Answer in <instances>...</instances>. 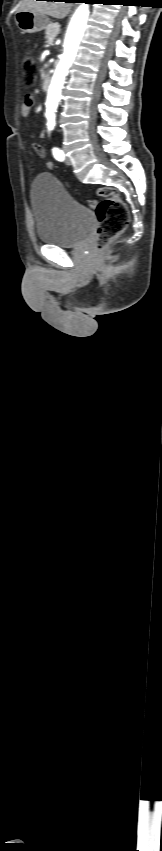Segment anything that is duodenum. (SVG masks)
Returning a JSON list of instances; mask_svg holds the SVG:
<instances>
[{
  "label": "duodenum",
  "instance_id": "410a0bca",
  "mask_svg": "<svg viewBox=\"0 0 162 851\" xmlns=\"http://www.w3.org/2000/svg\"><path fill=\"white\" fill-rule=\"evenodd\" d=\"M49 86H50V76L46 74V75L43 76V78L41 80V88H42V90L47 91Z\"/></svg>",
  "mask_w": 162,
  "mask_h": 851
}]
</instances>
